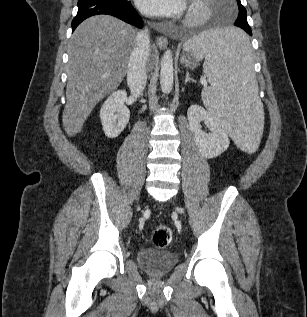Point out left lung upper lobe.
Instances as JSON below:
<instances>
[{"instance_id":"left-lung-upper-lobe-1","label":"left lung upper lobe","mask_w":307,"mask_h":317,"mask_svg":"<svg viewBox=\"0 0 307 317\" xmlns=\"http://www.w3.org/2000/svg\"><path fill=\"white\" fill-rule=\"evenodd\" d=\"M237 1V5H238V17L237 20L235 21L234 25L238 26V27H249L248 23H247V12L246 9L244 8V6L241 4L240 0H236Z\"/></svg>"}]
</instances>
